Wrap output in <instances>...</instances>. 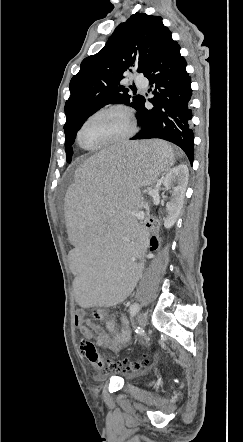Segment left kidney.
<instances>
[{"instance_id": "1", "label": "left kidney", "mask_w": 243, "mask_h": 442, "mask_svg": "<svg viewBox=\"0 0 243 442\" xmlns=\"http://www.w3.org/2000/svg\"><path fill=\"white\" fill-rule=\"evenodd\" d=\"M188 177V167L181 164L171 169L163 180V185L166 187L171 186L173 183L178 184L173 188L172 198L166 205L167 214L164 218V227L167 229L171 228L179 217L184 202Z\"/></svg>"}]
</instances>
